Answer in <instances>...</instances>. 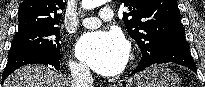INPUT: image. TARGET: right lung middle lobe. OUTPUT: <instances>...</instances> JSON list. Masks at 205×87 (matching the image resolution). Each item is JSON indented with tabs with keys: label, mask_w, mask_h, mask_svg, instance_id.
I'll use <instances>...</instances> for the list:
<instances>
[{
	"label": "right lung middle lobe",
	"mask_w": 205,
	"mask_h": 87,
	"mask_svg": "<svg viewBox=\"0 0 205 87\" xmlns=\"http://www.w3.org/2000/svg\"><path fill=\"white\" fill-rule=\"evenodd\" d=\"M59 40L58 28L19 31L14 37L10 51H37L61 59Z\"/></svg>",
	"instance_id": "obj_1"
}]
</instances>
